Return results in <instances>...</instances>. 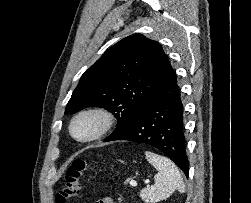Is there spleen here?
I'll return each instance as SVG.
<instances>
[{
  "instance_id": "1",
  "label": "spleen",
  "mask_w": 251,
  "mask_h": 203,
  "mask_svg": "<svg viewBox=\"0 0 251 203\" xmlns=\"http://www.w3.org/2000/svg\"><path fill=\"white\" fill-rule=\"evenodd\" d=\"M146 158L158 171L154 176L155 184L147 186L140 192V197L147 203H155L166 199L175 190L183 193L185 186L176 165L167 157L146 151Z\"/></svg>"
}]
</instances>
